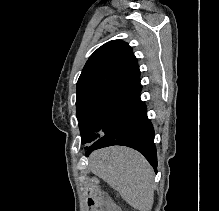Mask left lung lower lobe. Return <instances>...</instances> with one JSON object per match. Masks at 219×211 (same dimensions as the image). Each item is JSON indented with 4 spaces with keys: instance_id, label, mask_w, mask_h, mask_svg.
<instances>
[{
    "instance_id": "left-lung-lower-lobe-1",
    "label": "left lung lower lobe",
    "mask_w": 219,
    "mask_h": 211,
    "mask_svg": "<svg viewBox=\"0 0 219 211\" xmlns=\"http://www.w3.org/2000/svg\"><path fill=\"white\" fill-rule=\"evenodd\" d=\"M123 145L142 153L157 172V155L154 143V128L147 117V109L140 96L123 114L118 124L109 133L96 140L89 148L88 156L93 150Z\"/></svg>"
}]
</instances>
